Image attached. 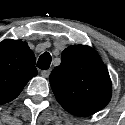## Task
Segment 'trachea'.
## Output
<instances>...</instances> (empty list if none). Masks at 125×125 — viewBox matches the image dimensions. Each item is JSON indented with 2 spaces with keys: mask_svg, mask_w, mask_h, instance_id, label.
Instances as JSON below:
<instances>
[{
  "mask_svg": "<svg viewBox=\"0 0 125 125\" xmlns=\"http://www.w3.org/2000/svg\"><path fill=\"white\" fill-rule=\"evenodd\" d=\"M52 58L48 52L43 53L37 62V67L42 70H47L50 67Z\"/></svg>",
  "mask_w": 125,
  "mask_h": 125,
  "instance_id": "3493384b",
  "label": "trachea"
}]
</instances>
